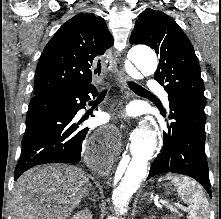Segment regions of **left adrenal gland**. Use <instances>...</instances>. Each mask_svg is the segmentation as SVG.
<instances>
[{"label": "left adrenal gland", "mask_w": 221, "mask_h": 219, "mask_svg": "<svg viewBox=\"0 0 221 219\" xmlns=\"http://www.w3.org/2000/svg\"><path fill=\"white\" fill-rule=\"evenodd\" d=\"M146 196H147V193L143 194L142 200L145 199Z\"/></svg>", "instance_id": "obj_1"}]
</instances>
